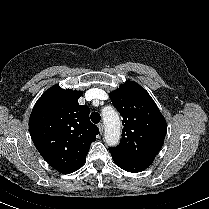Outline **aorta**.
<instances>
[{
  "mask_svg": "<svg viewBox=\"0 0 209 209\" xmlns=\"http://www.w3.org/2000/svg\"><path fill=\"white\" fill-rule=\"evenodd\" d=\"M105 125L104 138L109 146H117L121 136V123L118 113L110 106L102 110Z\"/></svg>",
  "mask_w": 209,
  "mask_h": 209,
  "instance_id": "1",
  "label": "aorta"
}]
</instances>
